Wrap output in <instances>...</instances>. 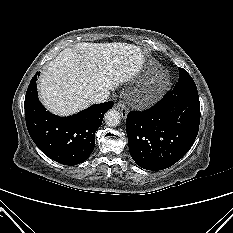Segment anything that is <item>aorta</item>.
Returning a JSON list of instances; mask_svg holds the SVG:
<instances>
[{
  "label": "aorta",
  "instance_id": "obj_1",
  "mask_svg": "<svg viewBox=\"0 0 233 233\" xmlns=\"http://www.w3.org/2000/svg\"><path fill=\"white\" fill-rule=\"evenodd\" d=\"M105 123L109 127H115L120 124L121 116L117 110H109L104 116Z\"/></svg>",
  "mask_w": 233,
  "mask_h": 233
}]
</instances>
